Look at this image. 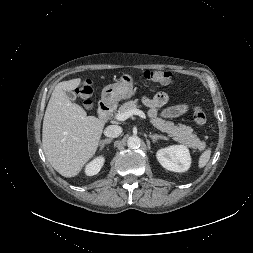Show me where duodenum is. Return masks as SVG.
Here are the masks:
<instances>
[{"mask_svg":"<svg viewBox=\"0 0 253 253\" xmlns=\"http://www.w3.org/2000/svg\"><path fill=\"white\" fill-rule=\"evenodd\" d=\"M113 111V104L108 101V100H103L100 104H99V116L106 120L108 119V117L110 116V114Z\"/></svg>","mask_w":253,"mask_h":253,"instance_id":"410a0bca","label":"duodenum"}]
</instances>
